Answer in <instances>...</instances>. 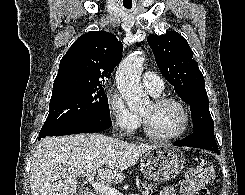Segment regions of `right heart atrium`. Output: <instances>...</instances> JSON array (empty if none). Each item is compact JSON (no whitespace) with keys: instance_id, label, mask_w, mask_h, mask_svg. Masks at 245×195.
<instances>
[{"instance_id":"right-heart-atrium-1","label":"right heart atrium","mask_w":245,"mask_h":195,"mask_svg":"<svg viewBox=\"0 0 245 195\" xmlns=\"http://www.w3.org/2000/svg\"><path fill=\"white\" fill-rule=\"evenodd\" d=\"M106 106L113 127L124 135H131L139 126V116L132 112L116 90L106 93Z\"/></svg>"}]
</instances>
